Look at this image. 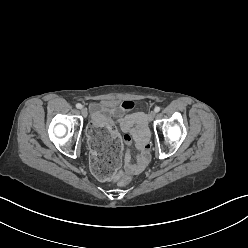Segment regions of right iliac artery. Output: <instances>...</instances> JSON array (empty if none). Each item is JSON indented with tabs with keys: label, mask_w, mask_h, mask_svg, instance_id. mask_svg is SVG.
I'll list each match as a JSON object with an SVG mask.
<instances>
[{
	"label": "right iliac artery",
	"mask_w": 248,
	"mask_h": 248,
	"mask_svg": "<svg viewBox=\"0 0 248 248\" xmlns=\"http://www.w3.org/2000/svg\"><path fill=\"white\" fill-rule=\"evenodd\" d=\"M76 107H77L78 109H81V108H82V105H81L80 103H78V104H76Z\"/></svg>",
	"instance_id": "right-iliac-artery-1"
}]
</instances>
